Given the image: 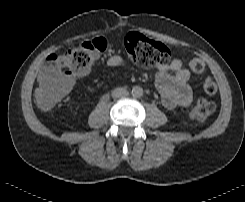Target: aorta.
Listing matches in <instances>:
<instances>
[{"instance_id":"aorta-1","label":"aorta","mask_w":245,"mask_h":202,"mask_svg":"<svg viewBox=\"0 0 245 202\" xmlns=\"http://www.w3.org/2000/svg\"><path fill=\"white\" fill-rule=\"evenodd\" d=\"M131 93L133 97L139 98L143 95V88L140 86H134Z\"/></svg>"}]
</instances>
